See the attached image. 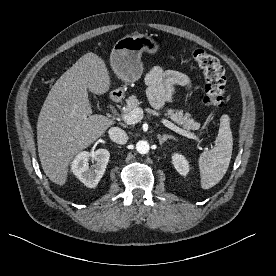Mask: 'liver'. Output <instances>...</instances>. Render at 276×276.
I'll return each mask as SVG.
<instances>
[{
    "instance_id": "6515ba94",
    "label": "liver",
    "mask_w": 276,
    "mask_h": 276,
    "mask_svg": "<svg viewBox=\"0 0 276 276\" xmlns=\"http://www.w3.org/2000/svg\"><path fill=\"white\" fill-rule=\"evenodd\" d=\"M110 85L104 60L90 52L78 59L49 91L38 117L37 145L43 171L55 184L66 183L74 156L114 124L103 115H92L88 98V90L102 95Z\"/></svg>"
}]
</instances>
